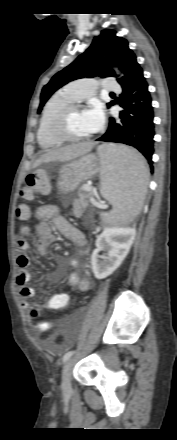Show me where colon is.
<instances>
[{
	"label": "colon",
	"mask_w": 177,
	"mask_h": 440,
	"mask_svg": "<svg viewBox=\"0 0 177 440\" xmlns=\"http://www.w3.org/2000/svg\"><path fill=\"white\" fill-rule=\"evenodd\" d=\"M48 193L49 192V176L45 171H38L33 174H29L26 177L25 187L21 191L23 197L29 199L35 193ZM16 216L18 219H25L27 211L24 206H20L16 210ZM44 308L47 311H67L69 308L68 298H45ZM38 313L36 306L30 309V318L35 319Z\"/></svg>",
	"instance_id": "colon-1"
}]
</instances>
